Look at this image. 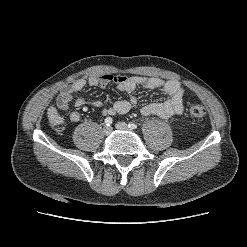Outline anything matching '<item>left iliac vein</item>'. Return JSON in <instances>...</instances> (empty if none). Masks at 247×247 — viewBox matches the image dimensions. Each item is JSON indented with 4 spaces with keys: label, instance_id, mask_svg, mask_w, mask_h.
I'll list each match as a JSON object with an SVG mask.
<instances>
[{
    "label": "left iliac vein",
    "instance_id": "left-iliac-vein-1",
    "mask_svg": "<svg viewBox=\"0 0 247 247\" xmlns=\"http://www.w3.org/2000/svg\"><path fill=\"white\" fill-rule=\"evenodd\" d=\"M115 127L119 130H130L127 123H125V122H117L115 124Z\"/></svg>",
    "mask_w": 247,
    "mask_h": 247
}]
</instances>
